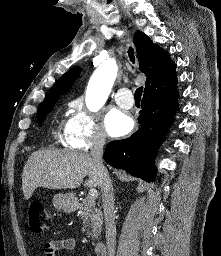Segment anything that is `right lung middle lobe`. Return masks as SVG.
<instances>
[{
	"label": "right lung middle lobe",
	"instance_id": "obj_1",
	"mask_svg": "<svg viewBox=\"0 0 221 256\" xmlns=\"http://www.w3.org/2000/svg\"><path fill=\"white\" fill-rule=\"evenodd\" d=\"M59 96H53L50 98L45 99L42 104L40 105L37 111V120L39 126L43 123L46 118V114H48L54 107L55 102L58 100Z\"/></svg>",
	"mask_w": 221,
	"mask_h": 256
}]
</instances>
